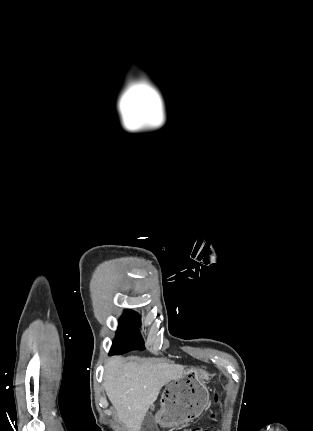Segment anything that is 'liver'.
Returning <instances> with one entry per match:
<instances>
[{
	"label": "liver",
	"instance_id": "6515ba94",
	"mask_svg": "<svg viewBox=\"0 0 313 431\" xmlns=\"http://www.w3.org/2000/svg\"><path fill=\"white\" fill-rule=\"evenodd\" d=\"M183 375L182 365L140 362L115 356L105 365L103 386L128 431H140L144 417L157 400L161 388Z\"/></svg>",
	"mask_w": 313,
	"mask_h": 431
}]
</instances>
